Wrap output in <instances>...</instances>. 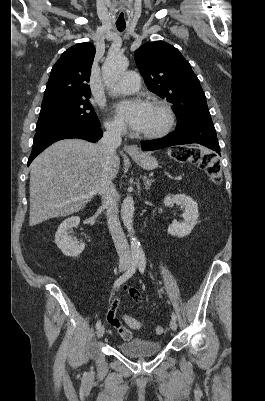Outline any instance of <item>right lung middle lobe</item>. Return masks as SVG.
<instances>
[{"mask_svg": "<svg viewBox=\"0 0 265 401\" xmlns=\"http://www.w3.org/2000/svg\"><path fill=\"white\" fill-rule=\"evenodd\" d=\"M88 98L61 99L42 104L36 129L53 124L100 126Z\"/></svg>", "mask_w": 265, "mask_h": 401, "instance_id": "dd1d6c3e", "label": "right lung middle lobe"}]
</instances>
